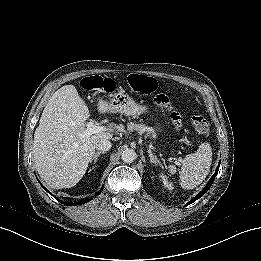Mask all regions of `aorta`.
<instances>
[{
  "instance_id": "1",
  "label": "aorta",
  "mask_w": 261,
  "mask_h": 261,
  "mask_svg": "<svg viewBox=\"0 0 261 261\" xmlns=\"http://www.w3.org/2000/svg\"><path fill=\"white\" fill-rule=\"evenodd\" d=\"M136 157V152L130 148H126L121 154V159L124 163H132Z\"/></svg>"
}]
</instances>
